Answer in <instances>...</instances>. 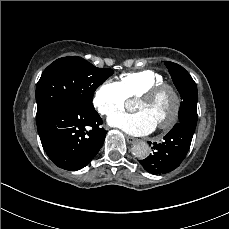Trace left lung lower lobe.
Returning <instances> with one entry per match:
<instances>
[{"label": "left lung lower lobe", "instance_id": "left-lung-lower-lobe-1", "mask_svg": "<svg viewBox=\"0 0 229 229\" xmlns=\"http://www.w3.org/2000/svg\"><path fill=\"white\" fill-rule=\"evenodd\" d=\"M197 100H188L185 122L175 124L164 136L162 143H153L152 149H155L153 154L140 161L147 172L152 174L168 173L176 169L184 160L196 128ZM149 144L151 145L150 142Z\"/></svg>", "mask_w": 229, "mask_h": 229}]
</instances>
